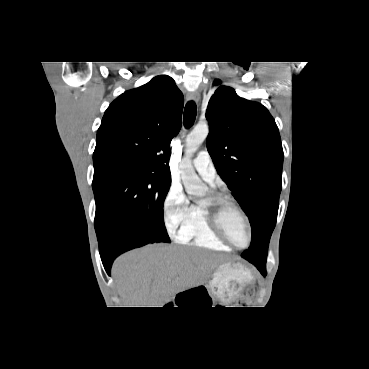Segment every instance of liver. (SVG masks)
Wrapping results in <instances>:
<instances>
[{
  "label": "liver",
  "instance_id": "1",
  "mask_svg": "<svg viewBox=\"0 0 369 369\" xmlns=\"http://www.w3.org/2000/svg\"><path fill=\"white\" fill-rule=\"evenodd\" d=\"M223 261L197 248L151 244L120 256L112 276L127 307H164L176 294L202 284Z\"/></svg>",
  "mask_w": 369,
  "mask_h": 369
}]
</instances>
